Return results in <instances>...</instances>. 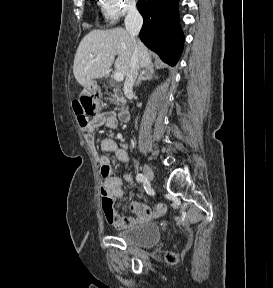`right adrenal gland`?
Listing matches in <instances>:
<instances>
[{
    "label": "right adrenal gland",
    "mask_w": 273,
    "mask_h": 288,
    "mask_svg": "<svg viewBox=\"0 0 273 288\" xmlns=\"http://www.w3.org/2000/svg\"><path fill=\"white\" fill-rule=\"evenodd\" d=\"M154 65L148 66L141 70L140 75L135 83V87L140 84L142 80L156 79Z\"/></svg>",
    "instance_id": "1"
}]
</instances>
